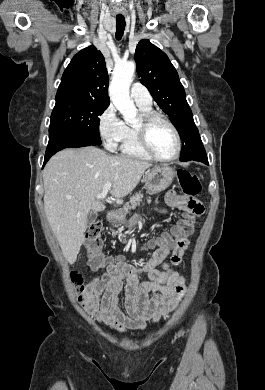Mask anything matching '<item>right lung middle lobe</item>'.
Instances as JSON below:
<instances>
[{
    "mask_svg": "<svg viewBox=\"0 0 265 390\" xmlns=\"http://www.w3.org/2000/svg\"><path fill=\"white\" fill-rule=\"evenodd\" d=\"M108 104L89 100L56 101L51 114L49 138L70 135L101 144L99 116Z\"/></svg>",
    "mask_w": 265,
    "mask_h": 390,
    "instance_id": "right-lung-middle-lobe-1",
    "label": "right lung middle lobe"
}]
</instances>
